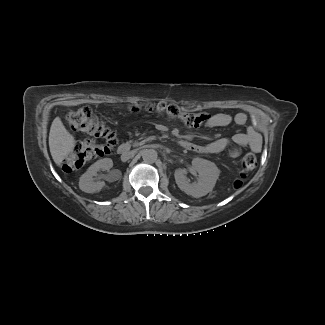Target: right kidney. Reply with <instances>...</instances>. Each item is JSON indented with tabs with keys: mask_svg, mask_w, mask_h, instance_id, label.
Here are the masks:
<instances>
[{
	"mask_svg": "<svg viewBox=\"0 0 325 325\" xmlns=\"http://www.w3.org/2000/svg\"><path fill=\"white\" fill-rule=\"evenodd\" d=\"M113 166L110 158H104L92 164L87 171L80 177L79 188L86 193H95L101 191L105 186L104 181H94V176L99 170L109 171Z\"/></svg>",
	"mask_w": 325,
	"mask_h": 325,
	"instance_id": "right-kidney-1",
	"label": "right kidney"
}]
</instances>
